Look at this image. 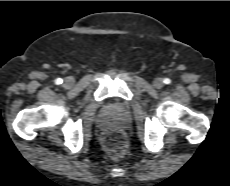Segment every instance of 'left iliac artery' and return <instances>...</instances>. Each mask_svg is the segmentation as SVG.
<instances>
[{"label": "left iliac artery", "mask_w": 230, "mask_h": 186, "mask_svg": "<svg viewBox=\"0 0 230 186\" xmlns=\"http://www.w3.org/2000/svg\"><path fill=\"white\" fill-rule=\"evenodd\" d=\"M165 84H170L171 83V80L169 78H165L164 81H163Z\"/></svg>", "instance_id": "44dca946"}]
</instances>
